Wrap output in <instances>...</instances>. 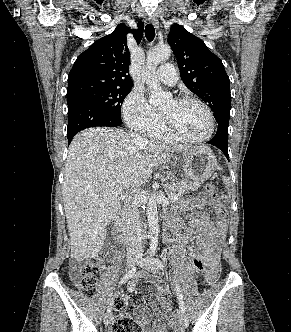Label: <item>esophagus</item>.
I'll list each match as a JSON object with an SVG mask.
<instances>
[{
	"mask_svg": "<svg viewBox=\"0 0 291 332\" xmlns=\"http://www.w3.org/2000/svg\"><path fill=\"white\" fill-rule=\"evenodd\" d=\"M148 21L154 25L155 28H158L159 27V22H158V19L155 15H150L149 18H148Z\"/></svg>",
	"mask_w": 291,
	"mask_h": 332,
	"instance_id": "1",
	"label": "esophagus"
}]
</instances>
